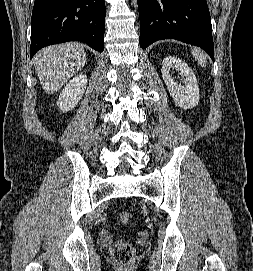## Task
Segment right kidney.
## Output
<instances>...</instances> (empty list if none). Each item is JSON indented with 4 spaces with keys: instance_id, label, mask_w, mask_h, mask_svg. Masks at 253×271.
<instances>
[{
    "instance_id": "1",
    "label": "right kidney",
    "mask_w": 253,
    "mask_h": 271,
    "mask_svg": "<svg viewBox=\"0 0 253 271\" xmlns=\"http://www.w3.org/2000/svg\"><path fill=\"white\" fill-rule=\"evenodd\" d=\"M87 82V76L79 74L66 84L61 91L57 102V105L61 111L67 112L74 109L85 92Z\"/></svg>"
}]
</instances>
